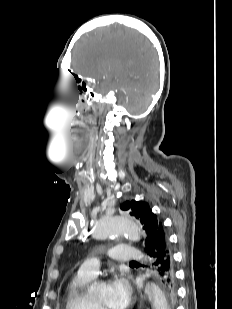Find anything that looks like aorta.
<instances>
[{
  "label": "aorta",
  "instance_id": "1",
  "mask_svg": "<svg viewBox=\"0 0 232 309\" xmlns=\"http://www.w3.org/2000/svg\"><path fill=\"white\" fill-rule=\"evenodd\" d=\"M120 234L127 235L132 241L140 240V227L133 219L123 216H112L99 220L94 226V237L104 239ZM94 289L99 285L95 283ZM152 309H169L168 301L162 290L153 283H147L144 289Z\"/></svg>",
  "mask_w": 232,
  "mask_h": 309
}]
</instances>
